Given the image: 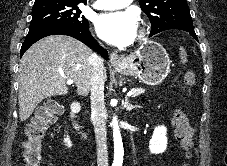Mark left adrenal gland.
<instances>
[{
	"mask_svg": "<svg viewBox=\"0 0 227 166\" xmlns=\"http://www.w3.org/2000/svg\"><path fill=\"white\" fill-rule=\"evenodd\" d=\"M124 107L126 108L127 111H131L133 109L139 108L140 106L137 104H130L128 102V98L125 97Z\"/></svg>",
	"mask_w": 227,
	"mask_h": 166,
	"instance_id": "a2214340",
	"label": "left adrenal gland"
}]
</instances>
